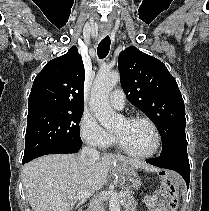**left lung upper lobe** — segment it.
<instances>
[{"label": "left lung upper lobe", "mask_w": 209, "mask_h": 211, "mask_svg": "<svg viewBox=\"0 0 209 211\" xmlns=\"http://www.w3.org/2000/svg\"><path fill=\"white\" fill-rule=\"evenodd\" d=\"M118 68L127 99L159 129L163 143L161 155L187 146L184 101L167 67L130 46L120 53Z\"/></svg>", "instance_id": "left-lung-upper-lobe-1"}]
</instances>
